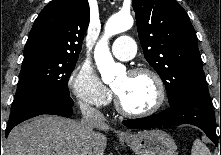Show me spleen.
<instances>
[{
	"mask_svg": "<svg viewBox=\"0 0 221 155\" xmlns=\"http://www.w3.org/2000/svg\"><path fill=\"white\" fill-rule=\"evenodd\" d=\"M191 155H211V153L201 140L196 139L192 146Z\"/></svg>",
	"mask_w": 221,
	"mask_h": 155,
	"instance_id": "3e777b00",
	"label": "spleen"
}]
</instances>
